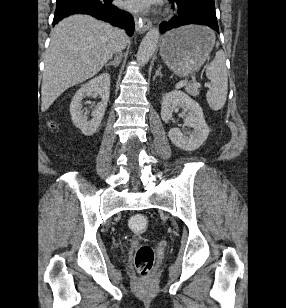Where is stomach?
<instances>
[{
    "label": "stomach",
    "instance_id": "obj_1",
    "mask_svg": "<svg viewBox=\"0 0 286 308\" xmlns=\"http://www.w3.org/2000/svg\"><path fill=\"white\" fill-rule=\"evenodd\" d=\"M215 44V34L208 27L187 25L166 33L160 55L177 75L186 76L198 70Z\"/></svg>",
    "mask_w": 286,
    "mask_h": 308
}]
</instances>
